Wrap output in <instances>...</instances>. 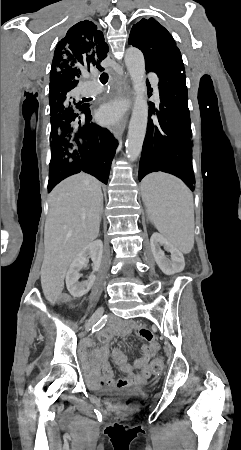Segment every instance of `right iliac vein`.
Masks as SVG:
<instances>
[{
    "mask_svg": "<svg viewBox=\"0 0 241 450\" xmlns=\"http://www.w3.org/2000/svg\"><path fill=\"white\" fill-rule=\"evenodd\" d=\"M103 313V308L100 307L98 308L95 313L92 315V317L89 319V321L87 322L86 325V331L88 332L89 330H91V328L93 327V325L96 323L97 320H99V318L101 317Z\"/></svg>",
    "mask_w": 241,
    "mask_h": 450,
    "instance_id": "1",
    "label": "right iliac vein"
}]
</instances>
